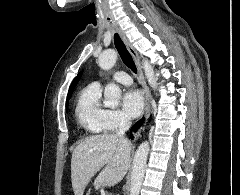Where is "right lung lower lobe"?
Instances as JSON below:
<instances>
[{"mask_svg": "<svg viewBox=\"0 0 240 195\" xmlns=\"http://www.w3.org/2000/svg\"><path fill=\"white\" fill-rule=\"evenodd\" d=\"M144 119H141L140 121H138L133 127H132V131H137V129L140 128V126L143 124ZM131 138H133L132 134L130 135Z\"/></svg>", "mask_w": 240, "mask_h": 195, "instance_id": "1", "label": "right lung lower lobe"}]
</instances>
